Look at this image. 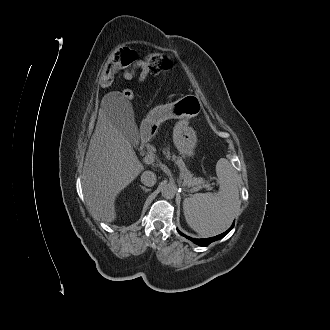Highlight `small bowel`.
Listing matches in <instances>:
<instances>
[{
	"mask_svg": "<svg viewBox=\"0 0 330 330\" xmlns=\"http://www.w3.org/2000/svg\"><path fill=\"white\" fill-rule=\"evenodd\" d=\"M138 74V81L143 83L147 80L149 75V70L146 62L142 59H136L134 64L123 71V78L126 80L133 79ZM107 84V83H104Z\"/></svg>",
	"mask_w": 330,
	"mask_h": 330,
	"instance_id": "1",
	"label": "small bowel"
}]
</instances>
